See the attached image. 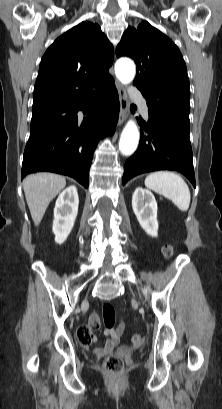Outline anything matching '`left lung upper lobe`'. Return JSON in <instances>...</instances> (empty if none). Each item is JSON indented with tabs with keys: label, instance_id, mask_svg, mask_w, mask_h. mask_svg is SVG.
<instances>
[{
	"label": "left lung upper lobe",
	"instance_id": "5c2ea615",
	"mask_svg": "<svg viewBox=\"0 0 222 409\" xmlns=\"http://www.w3.org/2000/svg\"><path fill=\"white\" fill-rule=\"evenodd\" d=\"M116 56L131 57L137 64L134 83L147 104L179 99L190 109L189 78L182 55L171 39L147 21L127 28Z\"/></svg>",
	"mask_w": 222,
	"mask_h": 409
}]
</instances>
